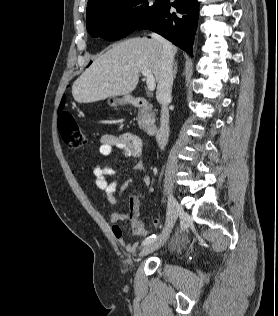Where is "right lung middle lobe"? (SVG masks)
Returning a JSON list of instances; mask_svg holds the SVG:
<instances>
[{"label": "right lung middle lobe", "instance_id": "dd1d6c3e", "mask_svg": "<svg viewBox=\"0 0 278 316\" xmlns=\"http://www.w3.org/2000/svg\"><path fill=\"white\" fill-rule=\"evenodd\" d=\"M153 5L147 0H110L90 9L86 14V27L93 37L118 40L137 30L154 13L159 1Z\"/></svg>", "mask_w": 278, "mask_h": 316}]
</instances>
